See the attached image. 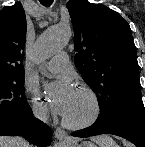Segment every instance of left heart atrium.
Wrapping results in <instances>:
<instances>
[{
	"label": "left heart atrium",
	"mask_w": 145,
	"mask_h": 147,
	"mask_svg": "<svg viewBox=\"0 0 145 147\" xmlns=\"http://www.w3.org/2000/svg\"><path fill=\"white\" fill-rule=\"evenodd\" d=\"M45 92L52 110L65 117L76 95L71 79L65 77L56 83L46 84Z\"/></svg>",
	"instance_id": "39dd6f15"
}]
</instances>
